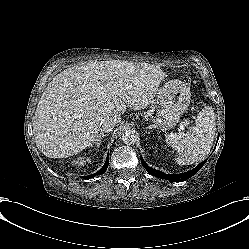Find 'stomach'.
<instances>
[{
    "label": "stomach",
    "mask_w": 249,
    "mask_h": 249,
    "mask_svg": "<svg viewBox=\"0 0 249 249\" xmlns=\"http://www.w3.org/2000/svg\"><path fill=\"white\" fill-rule=\"evenodd\" d=\"M191 99L190 89L181 82H170L163 85L157 93L160 105L157 117L152 121L157 128H173L187 110Z\"/></svg>",
    "instance_id": "obj_1"
}]
</instances>
